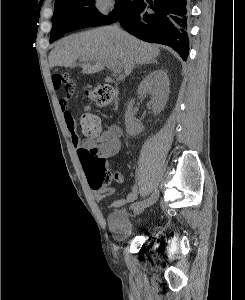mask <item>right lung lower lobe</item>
Returning a JSON list of instances; mask_svg holds the SVG:
<instances>
[{
	"label": "right lung lower lobe",
	"instance_id": "obj_1",
	"mask_svg": "<svg viewBox=\"0 0 245 300\" xmlns=\"http://www.w3.org/2000/svg\"><path fill=\"white\" fill-rule=\"evenodd\" d=\"M187 21L186 0H138L118 20L127 32L150 43L168 45L183 60L187 59L189 52ZM55 28L59 38L67 32L84 27L80 23L60 19L55 23Z\"/></svg>",
	"mask_w": 245,
	"mask_h": 300
}]
</instances>
